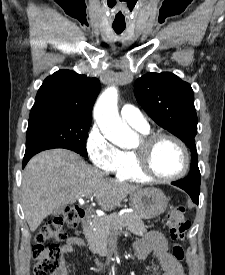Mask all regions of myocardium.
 I'll return each mask as SVG.
<instances>
[{
	"label": "myocardium",
	"mask_w": 225,
	"mask_h": 275,
	"mask_svg": "<svg viewBox=\"0 0 225 275\" xmlns=\"http://www.w3.org/2000/svg\"><path fill=\"white\" fill-rule=\"evenodd\" d=\"M162 140H170L176 143L182 151L184 163L181 170L169 176L157 174L151 164V155L154 148ZM136 156V166L138 171L148 179L155 181H173L183 177L190 167V154L185 143L178 137L166 133H148L144 134L140 146L134 150Z\"/></svg>",
	"instance_id": "obj_1"
}]
</instances>
